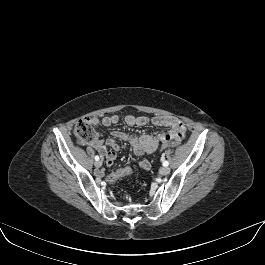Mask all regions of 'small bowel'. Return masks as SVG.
<instances>
[{
  "mask_svg": "<svg viewBox=\"0 0 265 265\" xmlns=\"http://www.w3.org/2000/svg\"><path fill=\"white\" fill-rule=\"evenodd\" d=\"M91 124H101L105 127L115 125L119 121L117 115L105 116L101 119L93 117L89 119ZM125 122L129 126H144L148 123H152L156 126L166 127V130L160 132L157 135L144 134L140 137L128 134L122 131L115 130L111 133V137L106 141L97 140L91 143L92 147L96 149L106 161L108 166H112L116 159V151L119 150L118 140L127 141L136 155L151 154L157 150L162 143L167 140L181 141L186 135V126L180 120L170 116H155L149 119L146 116H133L128 115L125 118ZM109 147L111 150H107ZM138 166L143 170L150 169V163L148 160H141L138 162Z\"/></svg>",
  "mask_w": 265,
  "mask_h": 265,
  "instance_id": "obj_1",
  "label": "small bowel"
}]
</instances>
